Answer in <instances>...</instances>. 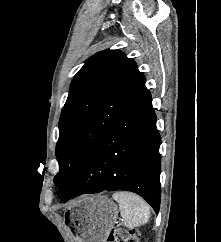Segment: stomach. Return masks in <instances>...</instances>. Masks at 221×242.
Masks as SVG:
<instances>
[{"instance_id":"obj_1","label":"stomach","mask_w":221,"mask_h":242,"mask_svg":"<svg viewBox=\"0 0 221 242\" xmlns=\"http://www.w3.org/2000/svg\"><path fill=\"white\" fill-rule=\"evenodd\" d=\"M116 204L107 196H85L70 208L74 242H105L117 220Z\"/></svg>"}]
</instances>
